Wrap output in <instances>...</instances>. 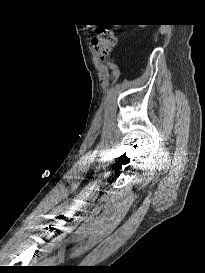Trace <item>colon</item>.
Instances as JSON below:
<instances>
[{
	"label": "colon",
	"mask_w": 205,
	"mask_h": 273,
	"mask_svg": "<svg viewBox=\"0 0 205 273\" xmlns=\"http://www.w3.org/2000/svg\"><path fill=\"white\" fill-rule=\"evenodd\" d=\"M115 45L114 33L109 26L98 28L95 37L92 39L91 46L98 60H105L111 53Z\"/></svg>",
	"instance_id": "1"
}]
</instances>
